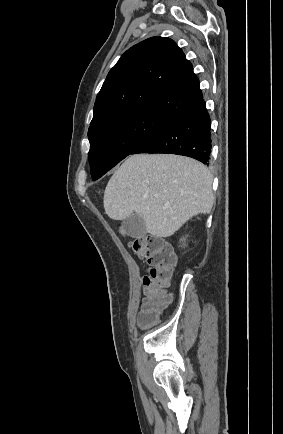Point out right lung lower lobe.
<instances>
[{
	"label": "right lung lower lobe",
	"instance_id": "98d812e1",
	"mask_svg": "<svg viewBox=\"0 0 283 434\" xmlns=\"http://www.w3.org/2000/svg\"><path fill=\"white\" fill-rule=\"evenodd\" d=\"M211 119L202 100L170 119L131 154L170 153L207 164L211 154Z\"/></svg>",
	"mask_w": 283,
	"mask_h": 434
}]
</instances>
